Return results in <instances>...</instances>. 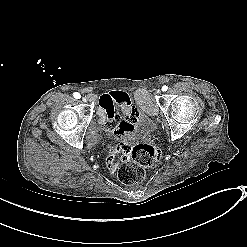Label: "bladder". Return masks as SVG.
<instances>
[{
	"instance_id": "bladder-1",
	"label": "bladder",
	"mask_w": 247,
	"mask_h": 247,
	"mask_svg": "<svg viewBox=\"0 0 247 247\" xmlns=\"http://www.w3.org/2000/svg\"><path fill=\"white\" fill-rule=\"evenodd\" d=\"M155 111L148 107L140 93H132L131 100L122 107L121 116L112 120L114 126L125 129L126 134L117 139L119 143H129L131 139H144L157 129Z\"/></svg>"
}]
</instances>
